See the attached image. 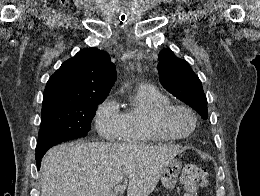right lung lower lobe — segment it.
I'll list each match as a JSON object with an SVG mask.
<instances>
[{
  "label": "right lung lower lobe",
  "mask_w": 260,
  "mask_h": 196,
  "mask_svg": "<svg viewBox=\"0 0 260 196\" xmlns=\"http://www.w3.org/2000/svg\"><path fill=\"white\" fill-rule=\"evenodd\" d=\"M48 149H49V148H44V149L36 150V162H37L38 168L40 167L41 158L43 157V155L46 153V151H47Z\"/></svg>",
  "instance_id": "1"
}]
</instances>
